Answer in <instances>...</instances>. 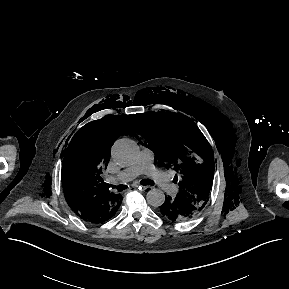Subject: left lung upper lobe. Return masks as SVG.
Here are the masks:
<instances>
[{
    "label": "left lung upper lobe",
    "mask_w": 289,
    "mask_h": 289,
    "mask_svg": "<svg viewBox=\"0 0 289 289\" xmlns=\"http://www.w3.org/2000/svg\"><path fill=\"white\" fill-rule=\"evenodd\" d=\"M139 118L155 162L179 173L174 178L180 187L178 195L202 210L214 175L213 151L202 132L190 118L176 113L148 112Z\"/></svg>",
    "instance_id": "5c2ea615"
}]
</instances>
